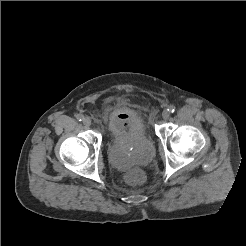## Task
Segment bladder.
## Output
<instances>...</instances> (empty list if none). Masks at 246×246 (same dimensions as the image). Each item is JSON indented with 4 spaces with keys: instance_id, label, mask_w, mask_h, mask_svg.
<instances>
[{
    "instance_id": "obj_1",
    "label": "bladder",
    "mask_w": 246,
    "mask_h": 246,
    "mask_svg": "<svg viewBox=\"0 0 246 246\" xmlns=\"http://www.w3.org/2000/svg\"><path fill=\"white\" fill-rule=\"evenodd\" d=\"M107 129L111 140L147 139L148 127L145 119L137 110L113 105L106 109ZM154 157V148L149 143L145 148L131 153L112 150L109 154L111 164L119 169H127L135 165H147Z\"/></svg>"
}]
</instances>
